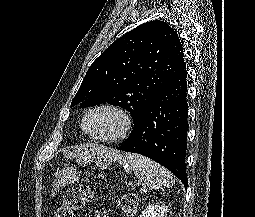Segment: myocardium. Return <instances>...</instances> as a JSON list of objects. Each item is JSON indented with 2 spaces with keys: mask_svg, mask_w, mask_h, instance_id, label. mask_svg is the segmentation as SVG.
<instances>
[{
  "mask_svg": "<svg viewBox=\"0 0 255 217\" xmlns=\"http://www.w3.org/2000/svg\"><path fill=\"white\" fill-rule=\"evenodd\" d=\"M97 110H108L116 114L119 119H120V126L116 132L113 134L107 135V136H98L90 133L86 127H85V122L88 118V116L97 111ZM133 126V118L130 112L124 108L123 106L113 103V102H102L96 105H93L89 109L86 110L84 113L82 120H81V128L82 131L90 138L97 140V141H102V142H115L118 141L122 138H124L129 131L131 130Z\"/></svg>",
  "mask_w": 255,
  "mask_h": 217,
  "instance_id": "obj_1",
  "label": "myocardium"
}]
</instances>
